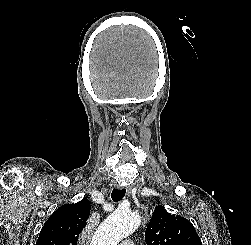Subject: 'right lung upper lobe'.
<instances>
[{
	"instance_id": "1",
	"label": "right lung upper lobe",
	"mask_w": 251,
	"mask_h": 245,
	"mask_svg": "<svg viewBox=\"0 0 251 245\" xmlns=\"http://www.w3.org/2000/svg\"><path fill=\"white\" fill-rule=\"evenodd\" d=\"M89 214L90 202L85 198L59 207L45 222L36 245H77Z\"/></svg>"
}]
</instances>
